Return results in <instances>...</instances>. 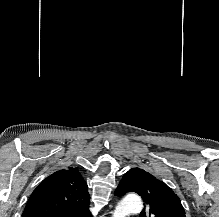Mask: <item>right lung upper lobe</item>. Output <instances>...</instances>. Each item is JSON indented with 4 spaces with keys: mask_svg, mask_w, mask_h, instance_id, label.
<instances>
[{
    "mask_svg": "<svg viewBox=\"0 0 219 217\" xmlns=\"http://www.w3.org/2000/svg\"><path fill=\"white\" fill-rule=\"evenodd\" d=\"M87 184L69 167L43 180L31 194L22 217H91Z\"/></svg>",
    "mask_w": 219,
    "mask_h": 217,
    "instance_id": "right-lung-upper-lobe-1",
    "label": "right lung upper lobe"
}]
</instances>
